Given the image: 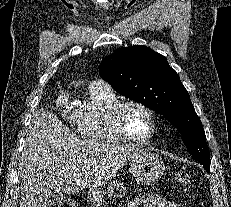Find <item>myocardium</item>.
Listing matches in <instances>:
<instances>
[{
	"label": "myocardium",
	"mask_w": 231,
	"mask_h": 207,
	"mask_svg": "<svg viewBox=\"0 0 231 207\" xmlns=\"http://www.w3.org/2000/svg\"><path fill=\"white\" fill-rule=\"evenodd\" d=\"M132 106L143 109L150 118L152 129L147 137L144 138L136 137L129 131L127 127L125 121V112L129 107ZM112 120L118 131L121 133V135H123L129 141L140 143V144L151 141L155 137L158 129V120L155 111L147 104L137 100L120 101L112 112Z\"/></svg>",
	"instance_id": "obj_1"
}]
</instances>
